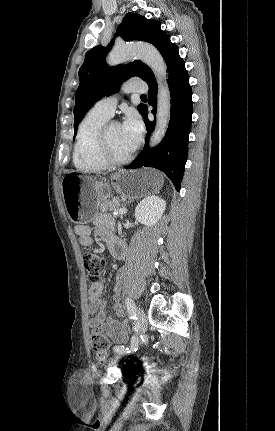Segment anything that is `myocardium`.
I'll list each match as a JSON object with an SVG mask.
<instances>
[{
	"mask_svg": "<svg viewBox=\"0 0 275 431\" xmlns=\"http://www.w3.org/2000/svg\"><path fill=\"white\" fill-rule=\"evenodd\" d=\"M113 123H117L115 121L107 122L101 129L98 137V154L100 158L103 160V162L107 166H122L127 163H129L132 158L133 154L130 152L127 156L119 158L113 155V153L110 150L109 142H108V131L110 126Z\"/></svg>",
	"mask_w": 275,
	"mask_h": 431,
	"instance_id": "1",
	"label": "myocardium"
}]
</instances>
